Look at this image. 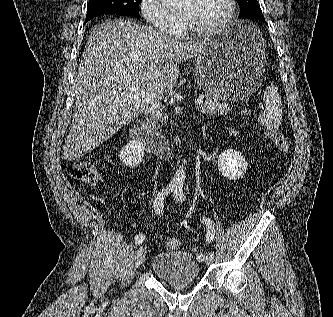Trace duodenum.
<instances>
[{
    "instance_id": "duodenum-1",
    "label": "duodenum",
    "mask_w": 333,
    "mask_h": 317,
    "mask_svg": "<svg viewBox=\"0 0 333 317\" xmlns=\"http://www.w3.org/2000/svg\"><path fill=\"white\" fill-rule=\"evenodd\" d=\"M131 138L146 151L168 160L172 155L171 143L162 135L154 133L140 123H134L130 129Z\"/></svg>"
}]
</instances>
